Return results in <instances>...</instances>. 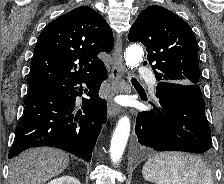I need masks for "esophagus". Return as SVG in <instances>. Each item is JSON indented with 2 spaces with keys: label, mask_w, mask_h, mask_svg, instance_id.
Returning a JSON list of instances; mask_svg holds the SVG:
<instances>
[{
  "label": "esophagus",
  "mask_w": 224,
  "mask_h": 184,
  "mask_svg": "<svg viewBox=\"0 0 224 184\" xmlns=\"http://www.w3.org/2000/svg\"><path fill=\"white\" fill-rule=\"evenodd\" d=\"M111 96L108 100V115L113 118L121 112L120 106L113 101L115 94L121 93L125 89L124 82V65L122 56V39L118 37L113 51L112 67H111Z\"/></svg>",
  "instance_id": "1"
}]
</instances>
